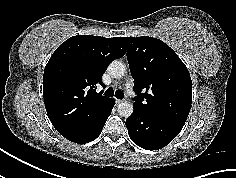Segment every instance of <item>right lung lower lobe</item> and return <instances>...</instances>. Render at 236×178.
Wrapping results in <instances>:
<instances>
[{"label":"right lung lower lobe","instance_id":"obj_1","mask_svg":"<svg viewBox=\"0 0 236 178\" xmlns=\"http://www.w3.org/2000/svg\"><path fill=\"white\" fill-rule=\"evenodd\" d=\"M114 105H115V101L110 106V108L107 111V114L104 116L103 120L95 128H93L92 130H90L89 132H87L85 134L75 136V137H70L67 139L72 142H75V143H88V142L96 139L100 135V133L102 132L105 122H106L107 118L109 117V115L111 114V110Z\"/></svg>","mask_w":236,"mask_h":178}]
</instances>
